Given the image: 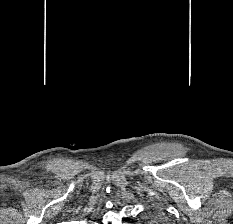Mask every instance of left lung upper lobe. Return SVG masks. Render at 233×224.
I'll use <instances>...</instances> for the list:
<instances>
[{
	"instance_id": "1",
	"label": "left lung upper lobe",
	"mask_w": 233,
	"mask_h": 224,
	"mask_svg": "<svg viewBox=\"0 0 233 224\" xmlns=\"http://www.w3.org/2000/svg\"><path fill=\"white\" fill-rule=\"evenodd\" d=\"M165 216L161 213L154 212L149 216L148 221L153 224H162L165 223Z\"/></svg>"
}]
</instances>
